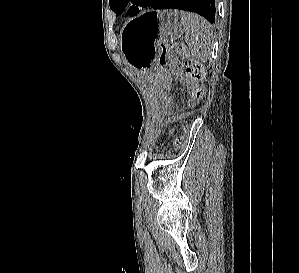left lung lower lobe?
I'll return each instance as SVG.
<instances>
[{"label":"left lung lower lobe","mask_w":299,"mask_h":273,"mask_svg":"<svg viewBox=\"0 0 299 273\" xmlns=\"http://www.w3.org/2000/svg\"><path fill=\"white\" fill-rule=\"evenodd\" d=\"M153 9H179L192 11L205 17L211 24L215 22V0H152Z\"/></svg>","instance_id":"obj_1"}]
</instances>
